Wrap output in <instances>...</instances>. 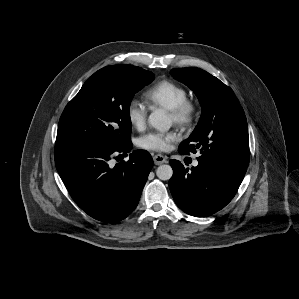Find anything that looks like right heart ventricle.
I'll return each instance as SVG.
<instances>
[{"label":"right heart ventricle","mask_w":299,"mask_h":299,"mask_svg":"<svg viewBox=\"0 0 299 299\" xmlns=\"http://www.w3.org/2000/svg\"><path fill=\"white\" fill-rule=\"evenodd\" d=\"M186 89L170 80L156 83L146 92L147 100L155 107L173 110L187 100Z\"/></svg>","instance_id":"obj_1"}]
</instances>
